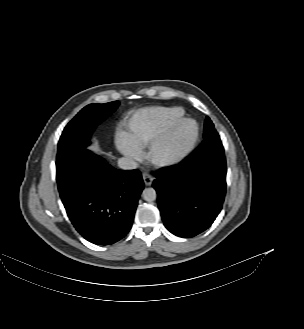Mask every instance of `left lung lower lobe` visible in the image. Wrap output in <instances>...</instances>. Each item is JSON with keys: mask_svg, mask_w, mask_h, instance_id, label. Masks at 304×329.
Masks as SVG:
<instances>
[{"mask_svg": "<svg viewBox=\"0 0 304 329\" xmlns=\"http://www.w3.org/2000/svg\"><path fill=\"white\" fill-rule=\"evenodd\" d=\"M226 172L224 148L216 130L179 166L157 172L153 187L165 227L184 238L209 228L222 209Z\"/></svg>", "mask_w": 304, "mask_h": 329, "instance_id": "0a47b994", "label": "left lung lower lobe"}]
</instances>
